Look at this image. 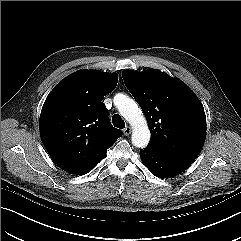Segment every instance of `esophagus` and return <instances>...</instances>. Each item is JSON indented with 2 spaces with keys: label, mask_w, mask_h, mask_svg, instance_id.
<instances>
[{
  "label": "esophagus",
  "mask_w": 241,
  "mask_h": 241,
  "mask_svg": "<svg viewBox=\"0 0 241 241\" xmlns=\"http://www.w3.org/2000/svg\"><path fill=\"white\" fill-rule=\"evenodd\" d=\"M131 127H129V126H126L124 129H123V133H124V135L125 136H128V135H130L131 134Z\"/></svg>",
  "instance_id": "1"
}]
</instances>
